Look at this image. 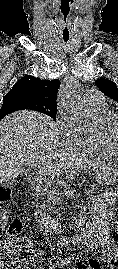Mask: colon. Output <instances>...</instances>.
<instances>
[{"instance_id": "5ec220e1", "label": "colon", "mask_w": 118, "mask_h": 269, "mask_svg": "<svg viewBox=\"0 0 118 269\" xmlns=\"http://www.w3.org/2000/svg\"><path fill=\"white\" fill-rule=\"evenodd\" d=\"M12 196L9 186L0 185V215L2 216ZM32 256L31 242L22 234V223L10 221L7 238L0 252V269H20L27 264Z\"/></svg>"}]
</instances>
